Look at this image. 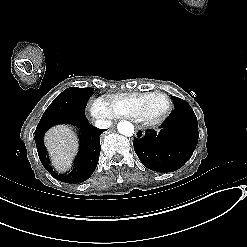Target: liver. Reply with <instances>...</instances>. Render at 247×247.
<instances>
[{
	"instance_id": "6515ba94",
	"label": "liver",
	"mask_w": 247,
	"mask_h": 247,
	"mask_svg": "<svg viewBox=\"0 0 247 247\" xmlns=\"http://www.w3.org/2000/svg\"><path fill=\"white\" fill-rule=\"evenodd\" d=\"M45 143L54 165L59 170H67L76 150V140L73 134L66 127L58 126L47 132Z\"/></svg>"
}]
</instances>
